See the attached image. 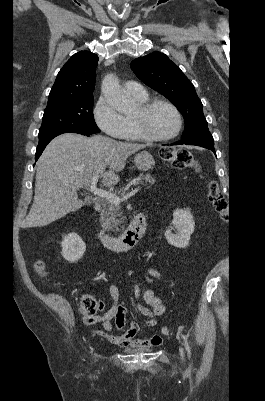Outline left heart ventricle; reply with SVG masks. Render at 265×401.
<instances>
[{
  "label": "left heart ventricle",
  "instance_id": "b2bd125f",
  "mask_svg": "<svg viewBox=\"0 0 265 401\" xmlns=\"http://www.w3.org/2000/svg\"><path fill=\"white\" fill-rule=\"evenodd\" d=\"M138 110L139 107L136 114L138 113ZM142 121L146 132L153 137L169 136L177 129V118L175 114L171 109L164 105L155 106L142 118Z\"/></svg>",
  "mask_w": 265,
  "mask_h": 401
}]
</instances>
